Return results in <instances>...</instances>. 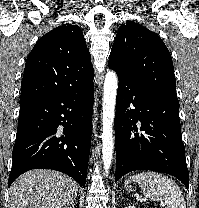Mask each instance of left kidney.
<instances>
[{"label": "left kidney", "mask_w": 199, "mask_h": 208, "mask_svg": "<svg viewBox=\"0 0 199 208\" xmlns=\"http://www.w3.org/2000/svg\"><path fill=\"white\" fill-rule=\"evenodd\" d=\"M125 208H136L134 205H128Z\"/></svg>", "instance_id": "1"}]
</instances>
